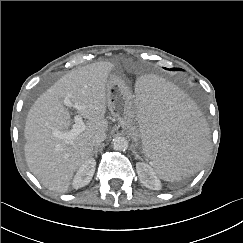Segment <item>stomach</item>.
Segmentation results:
<instances>
[{"label": "stomach", "mask_w": 243, "mask_h": 243, "mask_svg": "<svg viewBox=\"0 0 243 243\" xmlns=\"http://www.w3.org/2000/svg\"><path fill=\"white\" fill-rule=\"evenodd\" d=\"M107 105L114 118L136 140V113L134 96L126 83L115 74H110L107 83Z\"/></svg>", "instance_id": "stomach-1"}]
</instances>
